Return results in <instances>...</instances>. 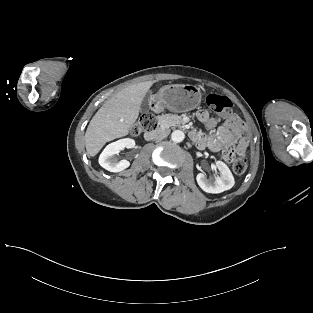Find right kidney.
<instances>
[{
    "label": "right kidney",
    "mask_w": 313,
    "mask_h": 313,
    "mask_svg": "<svg viewBox=\"0 0 313 313\" xmlns=\"http://www.w3.org/2000/svg\"><path fill=\"white\" fill-rule=\"evenodd\" d=\"M135 141L130 138H124L110 143L105 147L99 157V164L104 169L110 172H120L130 166V162L123 159L118 161L115 155H117L124 148H134Z\"/></svg>",
    "instance_id": "1"
}]
</instances>
